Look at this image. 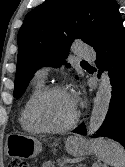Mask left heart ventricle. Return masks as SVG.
<instances>
[{
  "instance_id": "obj_1",
  "label": "left heart ventricle",
  "mask_w": 125,
  "mask_h": 167,
  "mask_svg": "<svg viewBox=\"0 0 125 167\" xmlns=\"http://www.w3.org/2000/svg\"><path fill=\"white\" fill-rule=\"evenodd\" d=\"M75 114V105L67 92H56L40 106L38 117L47 127L57 128L67 124Z\"/></svg>"
}]
</instances>
